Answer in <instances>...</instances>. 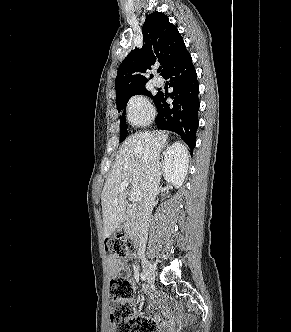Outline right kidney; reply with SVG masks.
Segmentation results:
<instances>
[{"instance_id": "obj_1", "label": "right kidney", "mask_w": 291, "mask_h": 332, "mask_svg": "<svg viewBox=\"0 0 291 332\" xmlns=\"http://www.w3.org/2000/svg\"><path fill=\"white\" fill-rule=\"evenodd\" d=\"M163 164L165 180L180 188L188 167V158L181 144L175 143L167 150Z\"/></svg>"}]
</instances>
